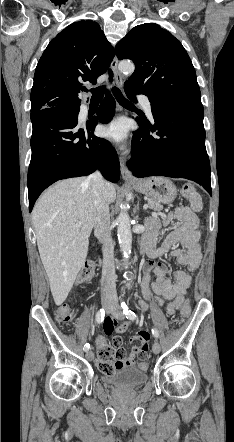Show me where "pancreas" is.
<instances>
[{"mask_svg": "<svg viewBox=\"0 0 234 442\" xmlns=\"http://www.w3.org/2000/svg\"><path fill=\"white\" fill-rule=\"evenodd\" d=\"M148 207L154 211H161L163 209V205L153 199H148Z\"/></svg>", "mask_w": 234, "mask_h": 442, "instance_id": "cf45deb5", "label": "pancreas"}]
</instances>
